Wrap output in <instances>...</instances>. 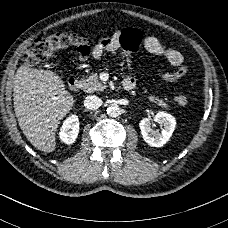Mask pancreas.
<instances>
[{"label": "pancreas", "mask_w": 228, "mask_h": 228, "mask_svg": "<svg viewBox=\"0 0 228 228\" xmlns=\"http://www.w3.org/2000/svg\"><path fill=\"white\" fill-rule=\"evenodd\" d=\"M106 85L102 84L99 81L98 74L97 73H92L88 79L83 83V91L87 93H93L95 91H103L106 89ZM150 102L156 103L158 106H161L165 109H169L168 105L163 102V100L159 99L158 97L155 96H149L148 97Z\"/></svg>", "instance_id": "obj_1"}]
</instances>
